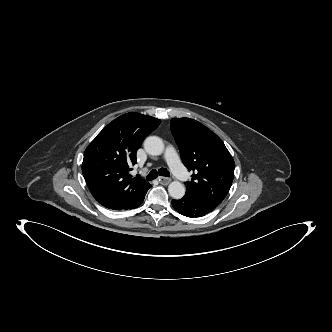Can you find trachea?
<instances>
[{
  "instance_id": "3493384b",
  "label": "trachea",
  "mask_w": 332,
  "mask_h": 332,
  "mask_svg": "<svg viewBox=\"0 0 332 332\" xmlns=\"http://www.w3.org/2000/svg\"><path fill=\"white\" fill-rule=\"evenodd\" d=\"M158 174L160 176H165V177H169L170 176V173L169 171L166 169V168H160L157 170L153 169L150 171V173L147 175L146 179L148 181H151V180H154L158 177ZM141 176L139 175L138 178H140Z\"/></svg>"
}]
</instances>
